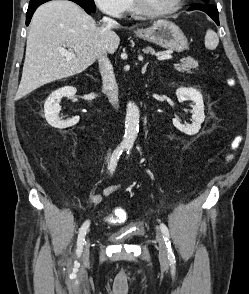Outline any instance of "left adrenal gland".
<instances>
[{"label":"left adrenal gland","mask_w":249,"mask_h":294,"mask_svg":"<svg viewBox=\"0 0 249 294\" xmlns=\"http://www.w3.org/2000/svg\"><path fill=\"white\" fill-rule=\"evenodd\" d=\"M148 66V63H146L143 67H142V73L144 74L146 72V68Z\"/></svg>","instance_id":"left-adrenal-gland-1"}]
</instances>
